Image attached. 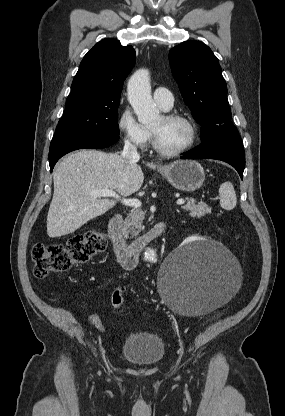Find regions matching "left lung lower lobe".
I'll return each mask as SVG.
<instances>
[{
	"label": "left lung lower lobe",
	"mask_w": 285,
	"mask_h": 416,
	"mask_svg": "<svg viewBox=\"0 0 285 416\" xmlns=\"http://www.w3.org/2000/svg\"><path fill=\"white\" fill-rule=\"evenodd\" d=\"M181 159H216L232 165L243 179L245 153L239 133L213 137L184 153Z\"/></svg>",
	"instance_id": "1"
}]
</instances>
